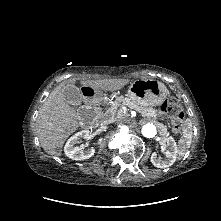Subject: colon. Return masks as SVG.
Listing matches in <instances>:
<instances>
[{"label":"colon","mask_w":221,"mask_h":221,"mask_svg":"<svg viewBox=\"0 0 221 221\" xmlns=\"http://www.w3.org/2000/svg\"><path fill=\"white\" fill-rule=\"evenodd\" d=\"M160 111L174 120L173 131L178 133L184 119V112L178 100L173 97L167 98L161 104Z\"/></svg>","instance_id":"5ec220e1"}]
</instances>
